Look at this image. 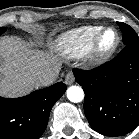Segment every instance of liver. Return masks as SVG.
Instances as JSON below:
<instances>
[{
	"label": "liver",
	"mask_w": 139,
	"mask_h": 139,
	"mask_svg": "<svg viewBox=\"0 0 139 139\" xmlns=\"http://www.w3.org/2000/svg\"><path fill=\"white\" fill-rule=\"evenodd\" d=\"M58 58L31 50L16 37L0 39V96L18 97L36 88L38 75L48 69H59Z\"/></svg>",
	"instance_id": "obj_1"
}]
</instances>
